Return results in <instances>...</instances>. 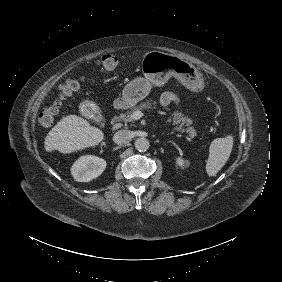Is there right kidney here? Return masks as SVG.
I'll return each instance as SVG.
<instances>
[{
	"label": "right kidney",
	"mask_w": 282,
	"mask_h": 282,
	"mask_svg": "<svg viewBox=\"0 0 282 282\" xmlns=\"http://www.w3.org/2000/svg\"><path fill=\"white\" fill-rule=\"evenodd\" d=\"M106 168V161L93 155L79 157L70 171L75 181L89 182L102 174Z\"/></svg>",
	"instance_id": "1"
}]
</instances>
